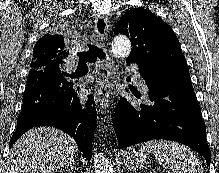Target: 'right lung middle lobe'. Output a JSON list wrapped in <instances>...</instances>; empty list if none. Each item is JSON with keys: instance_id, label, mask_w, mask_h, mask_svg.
<instances>
[{"instance_id": "obj_1", "label": "right lung middle lobe", "mask_w": 219, "mask_h": 173, "mask_svg": "<svg viewBox=\"0 0 219 173\" xmlns=\"http://www.w3.org/2000/svg\"><path fill=\"white\" fill-rule=\"evenodd\" d=\"M59 66H60V65H58V64H52V65L46 66V67H44V68L54 69V70H57V71L61 72ZM44 68H43V69H44ZM31 71H34V70H31Z\"/></svg>"}]
</instances>
